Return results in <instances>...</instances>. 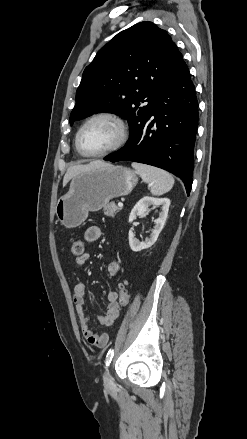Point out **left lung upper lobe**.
I'll return each mask as SVG.
<instances>
[{
	"label": "left lung upper lobe",
	"instance_id": "left-lung-upper-lobe-1",
	"mask_svg": "<svg viewBox=\"0 0 247 439\" xmlns=\"http://www.w3.org/2000/svg\"><path fill=\"white\" fill-rule=\"evenodd\" d=\"M186 67L165 30L152 22L137 23L117 34L85 68L70 125L110 112L127 119L131 136L152 113L159 93ZM144 101L148 104L141 106Z\"/></svg>",
	"mask_w": 247,
	"mask_h": 439
}]
</instances>
